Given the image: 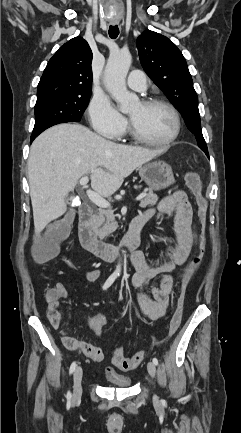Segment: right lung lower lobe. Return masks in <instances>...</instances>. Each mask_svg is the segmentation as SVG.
<instances>
[{"instance_id": "98d812e1", "label": "right lung lower lobe", "mask_w": 241, "mask_h": 433, "mask_svg": "<svg viewBox=\"0 0 241 433\" xmlns=\"http://www.w3.org/2000/svg\"><path fill=\"white\" fill-rule=\"evenodd\" d=\"M36 138V136H31V142Z\"/></svg>"}]
</instances>
